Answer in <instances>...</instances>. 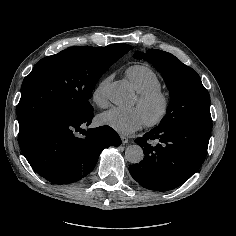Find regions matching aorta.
<instances>
[{
    "label": "aorta",
    "instance_id": "1",
    "mask_svg": "<svg viewBox=\"0 0 236 236\" xmlns=\"http://www.w3.org/2000/svg\"><path fill=\"white\" fill-rule=\"evenodd\" d=\"M126 97L127 95L123 91L118 90L110 93V100L116 104L124 102ZM125 157L132 164L140 163L144 158L143 149L137 144L130 145L125 150Z\"/></svg>",
    "mask_w": 236,
    "mask_h": 236
}]
</instances>
